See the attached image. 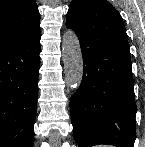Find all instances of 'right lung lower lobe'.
Wrapping results in <instances>:
<instances>
[{"label":"right lung lower lobe","instance_id":"1","mask_svg":"<svg viewBox=\"0 0 145 147\" xmlns=\"http://www.w3.org/2000/svg\"><path fill=\"white\" fill-rule=\"evenodd\" d=\"M41 31L0 47V147H32Z\"/></svg>","mask_w":145,"mask_h":147}]
</instances>
